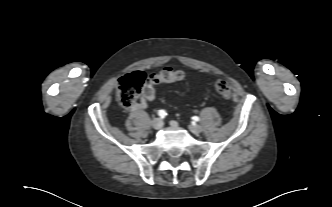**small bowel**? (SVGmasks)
I'll return each mask as SVG.
<instances>
[{"label":"small bowel","instance_id":"obj_1","mask_svg":"<svg viewBox=\"0 0 332 207\" xmlns=\"http://www.w3.org/2000/svg\"><path fill=\"white\" fill-rule=\"evenodd\" d=\"M156 97L154 87L151 83L145 85L140 100L133 106V111H139L147 108L148 104Z\"/></svg>","mask_w":332,"mask_h":207}]
</instances>
